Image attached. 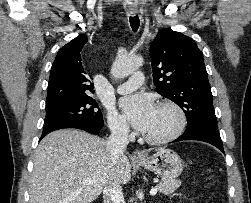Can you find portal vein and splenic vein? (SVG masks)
Masks as SVG:
<instances>
[{
    "instance_id": "obj_1",
    "label": "portal vein and splenic vein",
    "mask_w": 251,
    "mask_h": 203,
    "mask_svg": "<svg viewBox=\"0 0 251 203\" xmlns=\"http://www.w3.org/2000/svg\"><path fill=\"white\" fill-rule=\"evenodd\" d=\"M84 182L87 183V184H93L95 181H93L91 179H86V180H84ZM157 191H158L157 187L151 189V191H150L151 196L156 195Z\"/></svg>"
}]
</instances>
